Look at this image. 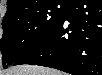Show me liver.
I'll return each mask as SVG.
<instances>
[{
    "mask_svg": "<svg viewBox=\"0 0 102 75\" xmlns=\"http://www.w3.org/2000/svg\"><path fill=\"white\" fill-rule=\"evenodd\" d=\"M7 75H56V72L39 67L19 66L8 71Z\"/></svg>",
    "mask_w": 102,
    "mask_h": 75,
    "instance_id": "obj_1",
    "label": "liver"
}]
</instances>
